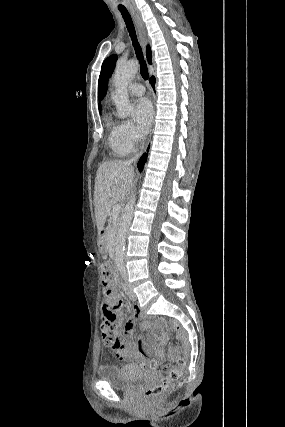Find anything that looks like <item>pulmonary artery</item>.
Returning a JSON list of instances; mask_svg holds the SVG:
<instances>
[{"mask_svg": "<svg viewBox=\"0 0 285 427\" xmlns=\"http://www.w3.org/2000/svg\"><path fill=\"white\" fill-rule=\"evenodd\" d=\"M128 90L132 96H141L145 92L144 86L140 83H131Z\"/></svg>", "mask_w": 285, "mask_h": 427, "instance_id": "pulmonary-artery-1", "label": "pulmonary artery"}]
</instances>
